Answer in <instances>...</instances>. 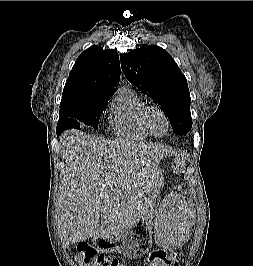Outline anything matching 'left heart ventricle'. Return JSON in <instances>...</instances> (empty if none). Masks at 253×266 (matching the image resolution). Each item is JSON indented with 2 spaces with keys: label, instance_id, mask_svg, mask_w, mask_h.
<instances>
[{
  "label": "left heart ventricle",
  "instance_id": "1",
  "mask_svg": "<svg viewBox=\"0 0 253 266\" xmlns=\"http://www.w3.org/2000/svg\"><path fill=\"white\" fill-rule=\"evenodd\" d=\"M150 122L155 133L163 135L166 132L167 124L160 113L153 112L150 117Z\"/></svg>",
  "mask_w": 253,
  "mask_h": 266
}]
</instances>
